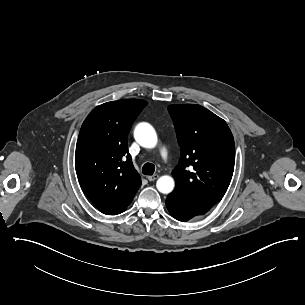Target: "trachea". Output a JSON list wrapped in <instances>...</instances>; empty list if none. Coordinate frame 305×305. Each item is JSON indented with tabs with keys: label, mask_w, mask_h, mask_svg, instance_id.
<instances>
[{
	"label": "trachea",
	"mask_w": 305,
	"mask_h": 305,
	"mask_svg": "<svg viewBox=\"0 0 305 305\" xmlns=\"http://www.w3.org/2000/svg\"><path fill=\"white\" fill-rule=\"evenodd\" d=\"M142 172L144 175H153L155 172V166L152 163H146L143 165Z\"/></svg>",
	"instance_id": "trachea-1"
}]
</instances>
